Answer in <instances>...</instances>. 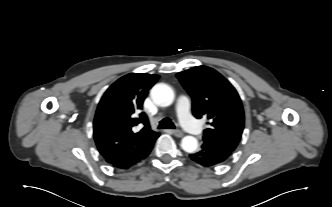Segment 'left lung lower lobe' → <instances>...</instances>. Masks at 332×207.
Returning a JSON list of instances; mask_svg holds the SVG:
<instances>
[{
	"mask_svg": "<svg viewBox=\"0 0 332 207\" xmlns=\"http://www.w3.org/2000/svg\"><path fill=\"white\" fill-rule=\"evenodd\" d=\"M231 153L232 151L216 144L203 141L200 151L190 154L189 157L204 167H212L224 162Z\"/></svg>",
	"mask_w": 332,
	"mask_h": 207,
	"instance_id": "1",
	"label": "left lung lower lobe"
}]
</instances>
